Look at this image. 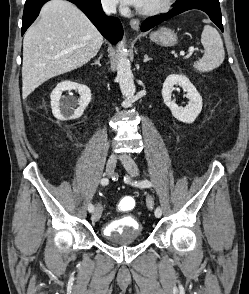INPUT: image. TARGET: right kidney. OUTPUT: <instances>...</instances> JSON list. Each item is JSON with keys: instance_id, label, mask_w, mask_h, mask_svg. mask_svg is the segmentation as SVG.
I'll return each instance as SVG.
<instances>
[{"instance_id": "obj_1", "label": "right kidney", "mask_w": 249, "mask_h": 294, "mask_svg": "<svg viewBox=\"0 0 249 294\" xmlns=\"http://www.w3.org/2000/svg\"><path fill=\"white\" fill-rule=\"evenodd\" d=\"M78 91L80 98L78 100V107H76V100L71 97H63V91ZM51 109L55 118L58 120H70L79 118L85 108L91 101V91L83 84L72 81H63L59 83L50 95Z\"/></svg>"}]
</instances>
